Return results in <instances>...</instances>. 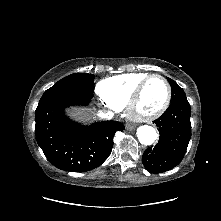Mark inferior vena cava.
<instances>
[{"mask_svg": "<svg viewBox=\"0 0 221 221\" xmlns=\"http://www.w3.org/2000/svg\"><path fill=\"white\" fill-rule=\"evenodd\" d=\"M97 115H98V117H100L102 119H110L113 117L112 112H105L103 110H99Z\"/></svg>", "mask_w": 221, "mask_h": 221, "instance_id": "inferior-vena-cava-1", "label": "inferior vena cava"}]
</instances>
